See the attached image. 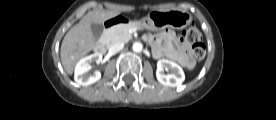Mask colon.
<instances>
[{"label":"colon","instance_id":"colon-1","mask_svg":"<svg viewBox=\"0 0 276 120\" xmlns=\"http://www.w3.org/2000/svg\"><path fill=\"white\" fill-rule=\"evenodd\" d=\"M183 37L188 43L192 44L191 51L193 57L197 61L203 60L206 55V47L204 43L201 41V35L199 30L192 24L188 27L186 31L183 32Z\"/></svg>","mask_w":276,"mask_h":120}]
</instances>
